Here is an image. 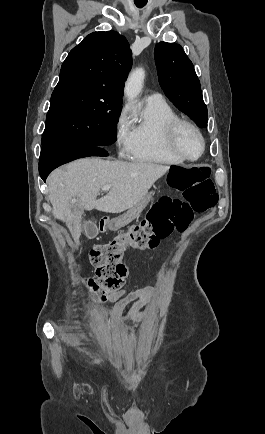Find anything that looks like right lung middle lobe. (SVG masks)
I'll use <instances>...</instances> for the list:
<instances>
[{
  "label": "right lung middle lobe",
  "instance_id": "obj_1",
  "mask_svg": "<svg viewBox=\"0 0 265 434\" xmlns=\"http://www.w3.org/2000/svg\"><path fill=\"white\" fill-rule=\"evenodd\" d=\"M122 95L102 86L69 81L55 87L42 135V147L106 146L116 140Z\"/></svg>",
  "mask_w": 265,
  "mask_h": 434
}]
</instances>
